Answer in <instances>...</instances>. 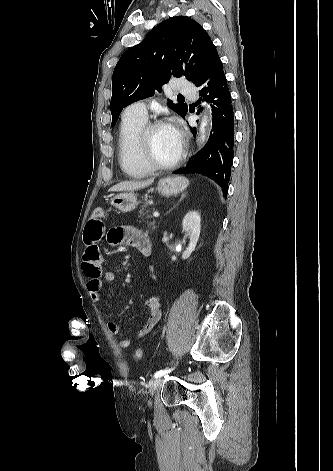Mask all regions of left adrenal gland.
Masks as SVG:
<instances>
[{
    "label": "left adrenal gland",
    "instance_id": "a2214340",
    "mask_svg": "<svg viewBox=\"0 0 333 471\" xmlns=\"http://www.w3.org/2000/svg\"><path fill=\"white\" fill-rule=\"evenodd\" d=\"M186 195H187V193H183V194L181 195V198H180V200L178 201L177 204H179V203L186 197ZM177 204H176V205H177ZM176 205H175V206H176ZM175 206H174V207H175Z\"/></svg>",
    "mask_w": 333,
    "mask_h": 471
}]
</instances>
